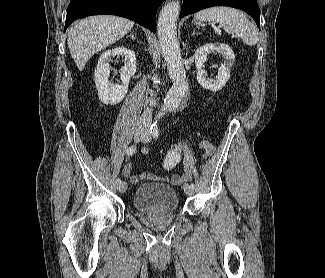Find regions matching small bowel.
<instances>
[{
    "label": "small bowel",
    "mask_w": 325,
    "mask_h": 278,
    "mask_svg": "<svg viewBox=\"0 0 325 278\" xmlns=\"http://www.w3.org/2000/svg\"><path fill=\"white\" fill-rule=\"evenodd\" d=\"M199 148L203 152V155L205 157H209L214 153V146L212 144H210L209 142H207V141L200 142ZM149 151H150L149 148H142L141 149V153L144 154V155L148 154ZM188 163H189V160H186V164H188ZM122 174H123V176L129 178V181L132 184H137L140 180H147V179H151V178L154 177L152 174H146V173H143L140 176L133 174L132 173V164L131 163H128L123 168ZM190 177H191L190 169H189V167H186V170H185L184 174H182L180 176L179 175L172 176L171 181L173 183H181V182H183L185 180L190 179Z\"/></svg>",
    "instance_id": "1"
}]
</instances>
